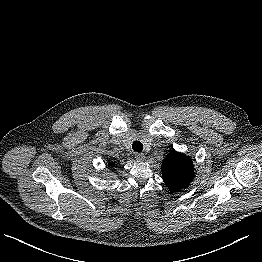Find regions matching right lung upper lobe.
I'll list each match as a JSON object with an SVG mask.
<instances>
[{"label": "right lung upper lobe", "mask_w": 262, "mask_h": 262, "mask_svg": "<svg viewBox=\"0 0 262 262\" xmlns=\"http://www.w3.org/2000/svg\"><path fill=\"white\" fill-rule=\"evenodd\" d=\"M109 164H110L111 166H114V165H115L113 162H112V163L110 162Z\"/></svg>", "instance_id": "cb5924a9"}]
</instances>
